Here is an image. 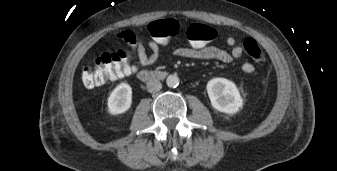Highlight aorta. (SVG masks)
I'll return each mask as SVG.
<instances>
[{
  "mask_svg": "<svg viewBox=\"0 0 337 171\" xmlns=\"http://www.w3.org/2000/svg\"><path fill=\"white\" fill-rule=\"evenodd\" d=\"M179 78L177 75H169L166 79V84L168 87L175 88L179 85Z\"/></svg>",
  "mask_w": 337,
  "mask_h": 171,
  "instance_id": "1",
  "label": "aorta"
}]
</instances>
